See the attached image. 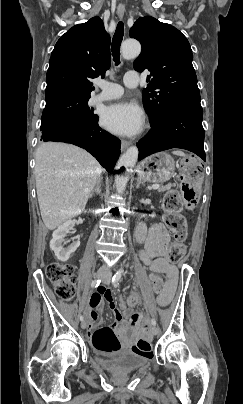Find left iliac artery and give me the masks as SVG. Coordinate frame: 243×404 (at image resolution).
<instances>
[{"label": "left iliac artery", "instance_id": "1", "mask_svg": "<svg viewBox=\"0 0 243 404\" xmlns=\"http://www.w3.org/2000/svg\"><path fill=\"white\" fill-rule=\"evenodd\" d=\"M121 277H122V273H121V272H119V273H117V274H115V275L113 276V278H112V283H113V285H114L115 287L119 286V281L121 280ZM151 324H152L153 326L156 325L155 319H152V320H151Z\"/></svg>", "mask_w": 243, "mask_h": 404}]
</instances>
